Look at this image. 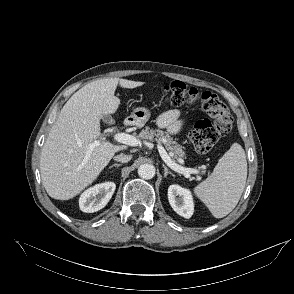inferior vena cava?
<instances>
[{
  "instance_id": "inferior-vena-cava-1",
  "label": "inferior vena cava",
  "mask_w": 294,
  "mask_h": 294,
  "mask_svg": "<svg viewBox=\"0 0 294 294\" xmlns=\"http://www.w3.org/2000/svg\"><path fill=\"white\" fill-rule=\"evenodd\" d=\"M131 158H132L131 155H125V154H123V153H121V154H119V155H116V156L114 157V159H115L116 161H119V162H122V163H127L128 161L131 160Z\"/></svg>"
}]
</instances>
